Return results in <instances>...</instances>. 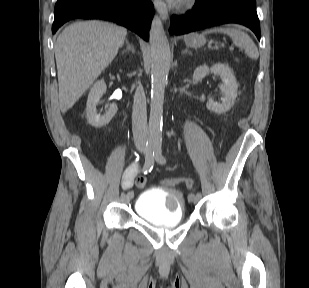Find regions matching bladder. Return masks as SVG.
<instances>
[{
  "instance_id": "bladder-1",
  "label": "bladder",
  "mask_w": 309,
  "mask_h": 288,
  "mask_svg": "<svg viewBox=\"0 0 309 288\" xmlns=\"http://www.w3.org/2000/svg\"><path fill=\"white\" fill-rule=\"evenodd\" d=\"M135 213L152 225L171 228L183 220V197L179 191L147 188L135 202Z\"/></svg>"
}]
</instances>
